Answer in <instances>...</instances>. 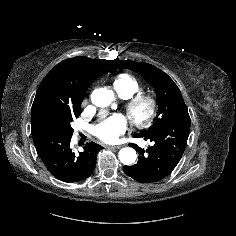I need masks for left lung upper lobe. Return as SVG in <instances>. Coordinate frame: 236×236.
<instances>
[{"label": "left lung upper lobe", "instance_id": "5c2ea615", "mask_svg": "<svg viewBox=\"0 0 236 236\" xmlns=\"http://www.w3.org/2000/svg\"><path fill=\"white\" fill-rule=\"evenodd\" d=\"M130 69L142 76L155 90L158 101V112L151 128L140 134L157 132L168 124L190 120L188 110L181 92L175 82L157 67L134 61H115L110 72L116 69Z\"/></svg>", "mask_w": 236, "mask_h": 236}]
</instances>
